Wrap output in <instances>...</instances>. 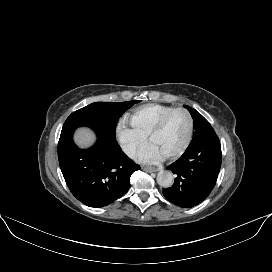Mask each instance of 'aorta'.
<instances>
[{"label":"aorta","mask_w":272,"mask_h":272,"mask_svg":"<svg viewBox=\"0 0 272 272\" xmlns=\"http://www.w3.org/2000/svg\"><path fill=\"white\" fill-rule=\"evenodd\" d=\"M157 183L164 187L168 188L173 183V175L170 171H160L157 175Z\"/></svg>","instance_id":"aorta-1"}]
</instances>
